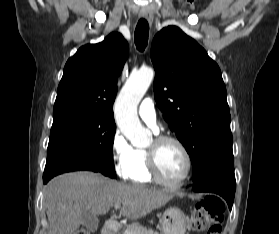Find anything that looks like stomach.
<instances>
[{"label":"stomach","instance_id":"obj_1","mask_svg":"<svg viewBox=\"0 0 279 234\" xmlns=\"http://www.w3.org/2000/svg\"><path fill=\"white\" fill-rule=\"evenodd\" d=\"M162 234H185L187 216L179 208L167 209L160 220Z\"/></svg>","mask_w":279,"mask_h":234}]
</instances>
